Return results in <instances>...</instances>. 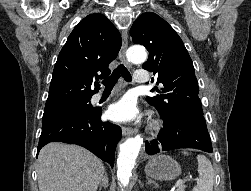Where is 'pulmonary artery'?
I'll return each mask as SVG.
<instances>
[{"label":"pulmonary artery","instance_id":"pulmonary-artery-1","mask_svg":"<svg viewBox=\"0 0 251 191\" xmlns=\"http://www.w3.org/2000/svg\"><path fill=\"white\" fill-rule=\"evenodd\" d=\"M135 80L137 82H148L149 73L148 68H135L134 74ZM102 97L101 93H97L93 96V100H99Z\"/></svg>","mask_w":251,"mask_h":191}]
</instances>
